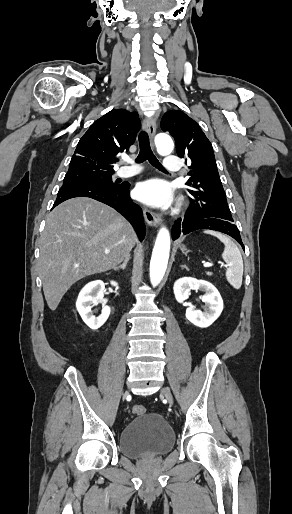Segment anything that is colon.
I'll list each match as a JSON object with an SVG mask.
<instances>
[{
  "instance_id": "obj_1",
  "label": "colon",
  "mask_w": 292,
  "mask_h": 514,
  "mask_svg": "<svg viewBox=\"0 0 292 514\" xmlns=\"http://www.w3.org/2000/svg\"><path fill=\"white\" fill-rule=\"evenodd\" d=\"M132 412L135 414V415H138V416H144L146 413H147V409L145 408V406L143 405H140V404H134L132 406Z\"/></svg>"
}]
</instances>
